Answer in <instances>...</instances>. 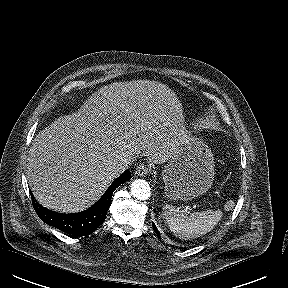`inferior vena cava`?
I'll use <instances>...</instances> for the list:
<instances>
[{"instance_id":"inferior-vena-cava-1","label":"inferior vena cava","mask_w":288,"mask_h":288,"mask_svg":"<svg viewBox=\"0 0 288 288\" xmlns=\"http://www.w3.org/2000/svg\"><path fill=\"white\" fill-rule=\"evenodd\" d=\"M131 159V156L124 154L114 159L109 167L111 173L116 175L123 172L130 164Z\"/></svg>"}]
</instances>
